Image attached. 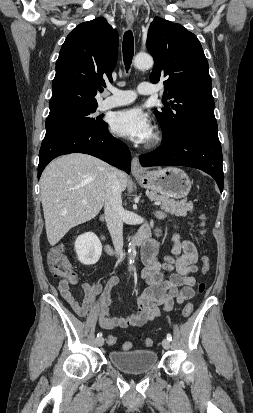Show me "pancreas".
I'll return each mask as SVG.
<instances>
[{
    "label": "pancreas",
    "instance_id": "1",
    "mask_svg": "<svg viewBox=\"0 0 253 413\" xmlns=\"http://www.w3.org/2000/svg\"><path fill=\"white\" fill-rule=\"evenodd\" d=\"M149 197L160 202L161 209L164 210V212L172 215L186 216L187 212L193 211L192 202L175 201L167 196L158 195L155 192H150Z\"/></svg>",
    "mask_w": 253,
    "mask_h": 413
}]
</instances>
